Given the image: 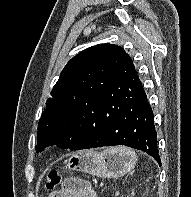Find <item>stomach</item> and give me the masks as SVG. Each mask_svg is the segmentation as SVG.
Returning a JSON list of instances; mask_svg holds the SVG:
<instances>
[{"label": "stomach", "mask_w": 191, "mask_h": 197, "mask_svg": "<svg viewBox=\"0 0 191 197\" xmlns=\"http://www.w3.org/2000/svg\"><path fill=\"white\" fill-rule=\"evenodd\" d=\"M135 163L129 156L116 151V148H110L100 153L94 150L79 151L67 160V167L102 178H120Z\"/></svg>", "instance_id": "1"}]
</instances>
